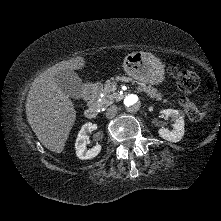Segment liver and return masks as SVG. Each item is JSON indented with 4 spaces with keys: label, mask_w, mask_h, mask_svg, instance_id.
Returning <instances> with one entry per match:
<instances>
[{
    "label": "liver",
    "mask_w": 221,
    "mask_h": 221,
    "mask_svg": "<svg viewBox=\"0 0 221 221\" xmlns=\"http://www.w3.org/2000/svg\"><path fill=\"white\" fill-rule=\"evenodd\" d=\"M83 57L57 63L35 78L26 99L27 120L41 144L61 153L76 119L73 102L57 86L55 75L62 70H79Z\"/></svg>",
    "instance_id": "liver-1"
}]
</instances>
